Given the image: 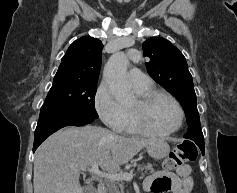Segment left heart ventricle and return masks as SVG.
<instances>
[{
  "instance_id": "obj_1",
  "label": "left heart ventricle",
  "mask_w": 237,
  "mask_h": 193,
  "mask_svg": "<svg viewBox=\"0 0 237 193\" xmlns=\"http://www.w3.org/2000/svg\"><path fill=\"white\" fill-rule=\"evenodd\" d=\"M132 109H138V100L132 105ZM179 113L174 103L166 97L156 98L142 114V121L148 127L167 131L178 124Z\"/></svg>"
}]
</instances>
